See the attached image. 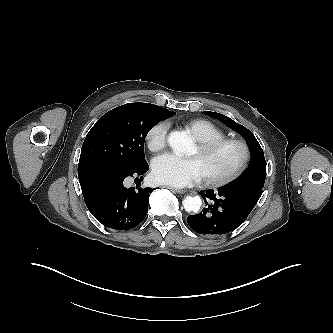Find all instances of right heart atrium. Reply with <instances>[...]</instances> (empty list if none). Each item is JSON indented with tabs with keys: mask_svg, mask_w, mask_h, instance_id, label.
I'll return each mask as SVG.
<instances>
[{
	"mask_svg": "<svg viewBox=\"0 0 333 333\" xmlns=\"http://www.w3.org/2000/svg\"><path fill=\"white\" fill-rule=\"evenodd\" d=\"M168 123L161 121L154 124L146 134V142L149 150L158 152L162 150L167 142Z\"/></svg>",
	"mask_w": 333,
	"mask_h": 333,
	"instance_id": "1",
	"label": "right heart atrium"
}]
</instances>
